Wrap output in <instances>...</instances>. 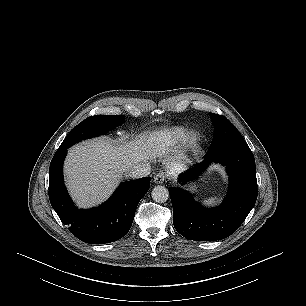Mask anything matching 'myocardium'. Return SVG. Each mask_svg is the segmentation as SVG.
Here are the masks:
<instances>
[{
	"label": "myocardium",
	"mask_w": 306,
	"mask_h": 306,
	"mask_svg": "<svg viewBox=\"0 0 306 306\" xmlns=\"http://www.w3.org/2000/svg\"><path fill=\"white\" fill-rule=\"evenodd\" d=\"M200 134L197 131L190 130L182 138V147L187 152H194L200 145Z\"/></svg>",
	"instance_id": "myocardium-1"
}]
</instances>
